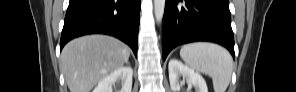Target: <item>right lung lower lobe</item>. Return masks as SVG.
Instances as JSON below:
<instances>
[{
	"mask_svg": "<svg viewBox=\"0 0 296 92\" xmlns=\"http://www.w3.org/2000/svg\"><path fill=\"white\" fill-rule=\"evenodd\" d=\"M140 0H70L60 50L71 39L86 34L115 36L137 56Z\"/></svg>",
	"mask_w": 296,
	"mask_h": 92,
	"instance_id": "1",
	"label": "right lung lower lobe"
}]
</instances>
